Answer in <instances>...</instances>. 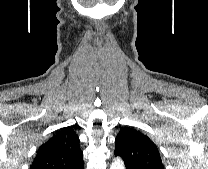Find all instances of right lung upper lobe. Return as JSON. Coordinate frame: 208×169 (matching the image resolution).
<instances>
[{
  "label": "right lung upper lobe",
  "mask_w": 208,
  "mask_h": 169,
  "mask_svg": "<svg viewBox=\"0 0 208 169\" xmlns=\"http://www.w3.org/2000/svg\"><path fill=\"white\" fill-rule=\"evenodd\" d=\"M79 142L73 129H60L40 146L30 169H73L83 162Z\"/></svg>",
  "instance_id": "cb5924a9"
}]
</instances>
